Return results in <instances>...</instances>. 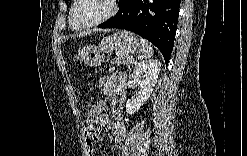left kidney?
I'll return each mask as SVG.
<instances>
[{"label": "left kidney", "instance_id": "1", "mask_svg": "<svg viewBox=\"0 0 247 156\" xmlns=\"http://www.w3.org/2000/svg\"><path fill=\"white\" fill-rule=\"evenodd\" d=\"M161 63L156 59H148L139 62L132 72V80L139 85L135 98L127 100L126 111L134 114L151 95L160 72Z\"/></svg>", "mask_w": 247, "mask_h": 156}]
</instances>
